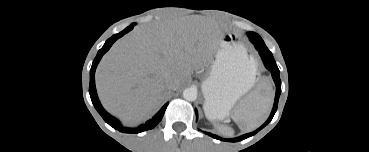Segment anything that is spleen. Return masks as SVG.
<instances>
[{
    "label": "spleen",
    "instance_id": "obj_1",
    "mask_svg": "<svg viewBox=\"0 0 369 152\" xmlns=\"http://www.w3.org/2000/svg\"><path fill=\"white\" fill-rule=\"evenodd\" d=\"M274 99L270 86L261 85L256 91L242 100L232 113V119L240 129L252 131L268 117Z\"/></svg>",
    "mask_w": 369,
    "mask_h": 152
}]
</instances>
